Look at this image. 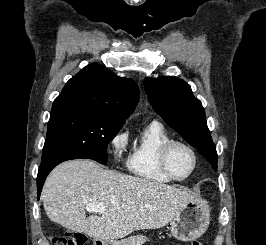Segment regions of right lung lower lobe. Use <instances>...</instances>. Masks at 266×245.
Instances as JSON below:
<instances>
[{
	"mask_svg": "<svg viewBox=\"0 0 266 245\" xmlns=\"http://www.w3.org/2000/svg\"><path fill=\"white\" fill-rule=\"evenodd\" d=\"M71 159H77V158L71 157V156H59V157H54L52 159H49L41 163L39 167V171H38V176H37L38 199L40 197L41 190L45 182V179L50 173V171L59 163L66 161V160H71Z\"/></svg>",
	"mask_w": 266,
	"mask_h": 245,
	"instance_id": "right-lung-lower-lobe-1",
	"label": "right lung lower lobe"
}]
</instances>
